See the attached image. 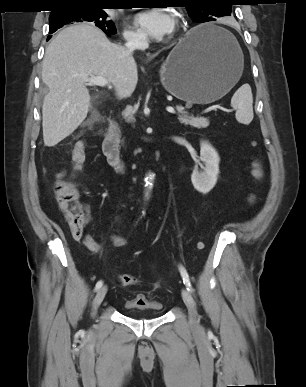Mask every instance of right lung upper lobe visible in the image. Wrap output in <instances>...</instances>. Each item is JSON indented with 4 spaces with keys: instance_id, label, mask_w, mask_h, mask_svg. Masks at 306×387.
<instances>
[{
    "instance_id": "right-lung-upper-lobe-1",
    "label": "right lung upper lobe",
    "mask_w": 306,
    "mask_h": 387,
    "mask_svg": "<svg viewBox=\"0 0 306 387\" xmlns=\"http://www.w3.org/2000/svg\"><path fill=\"white\" fill-rule=\"evenodd\" d=\"M56 1V9L52 12L58 11L60 8L71 7V6H108L110 5L111 0H55Z\"/></svg>"
}]
</instances>
